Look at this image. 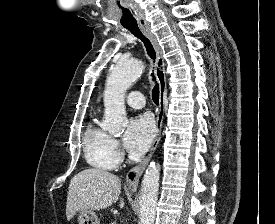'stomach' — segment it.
I'll return each instance as SVG.
<instances>
[{
	"mask_svg": "<svg viewBox=\"0 0 275 224\" xmlns=\"http://www.w3.org/2000/svg\"><path fill=\"white\" fill-rule=\"evenodd\" d=\"M78 224H100L97 214L92 210H81L77 214Z\"/></svg>",
	"mask_w": 275,
	"mask_h": 224,
	"instance_id": "1",
	"label": "stomach"
}]
</instances>
